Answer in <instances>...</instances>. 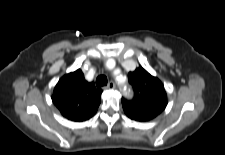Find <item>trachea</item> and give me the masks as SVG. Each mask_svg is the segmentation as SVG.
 Returning <instances> with one entry per match:
<instances>
[{
  "label": "trachea",
  "mask_w": 225,
  "mask_h": 155,
  "mask_svg": "<svg viewBox=\"0 0 225 155\" xmlns=\"http://www.w3.org/2000/svg\"><path fill=\"white\" fill-rule=\"evenodd\" d=\"M105 85H107V77L104 76V75L98 76L97 79H96V86L102 87V86H105Z\"/></svg>",
  "instance_id": "obj_1"
}]
</instances>
